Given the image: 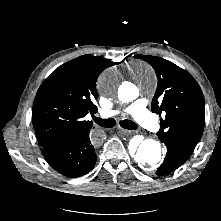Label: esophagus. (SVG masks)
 I'll return each instance as SVG.
<instances>
[{"label":"esophagus","instance_id":"1","mask_svg":"<svg viewBox=\"0 0 221 221\" xmlns=\"http://www.w3.org/2000/svg\"><path fill=\"white\" fill-rule=\"evenodd\" d=\"M119 130H120L122 133H124L125 135H129V134L132 133V131L126 130V129H122V128H119Z\"/></svg>","mask_w":221,"mask_h":221}]
</instances>
